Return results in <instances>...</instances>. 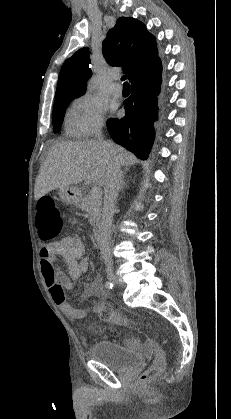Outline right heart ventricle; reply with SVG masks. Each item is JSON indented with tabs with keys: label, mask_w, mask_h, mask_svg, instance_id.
I'll list each match as a JSON object with an SVG mask.
<instances>
[{
	"label": "right heart ventricle",
	"mask_w": 231,
	"mask_h": 419,
	"mask_svg": "<svg viewBox=\"0 0 231 419\" xmlns=\"http://www.w3.org/2000/svg\"><path fill=\"white\" fill-rule=\"evenodd\" d=\"M66 130H67V133H68V134H72V130H71L70 126H69L68 121H67V123H66Z\"/></svg>",
	"instance_id": "right-heart-ventricle-1"
}]
</instances>
